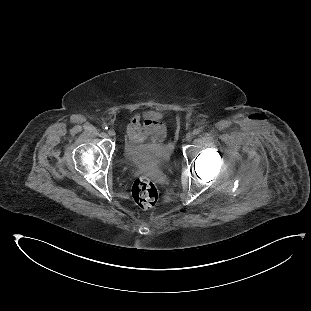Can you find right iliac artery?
Listing matches in <instances>:
<instances>
[{"label": "right iliac artery", "instance_id": "1", "mask_svg": "<svg viewBox=\"0 0 311 311\" xmlns=\"http://www.w3.org/2000/svg\"><path fill=\"white\" fill-rule=\"evenodd\" d=\"M102 128L105 129V130L108 129L107 124H103V125H102Z\"/></svg>", "mask_w": 311, "mask_h": 311}]
</instances>
